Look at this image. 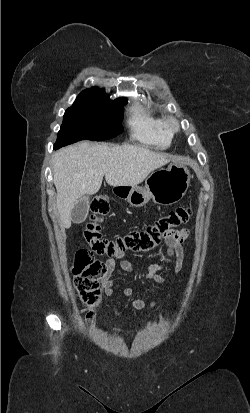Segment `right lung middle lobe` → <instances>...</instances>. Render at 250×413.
I'll use <instances>...</instances> for the list:
<instances>
[{
    "label": "right lung middle lobe",
    "mask_w": 250,
    "mask_h": 413,
    "mask_svg": "<svg viewBox=\"0 0 250 413\" xmlns=\"http://www.w3.org/2000/svg\"><path fill=\"white\" fill-rule=\"evenodd\" d=\"M125 98L109 100L107 95L81 92L65 111L54 149L80 140L103 141L123 130Z\"/></svg>",
    "instance_id": "obj_1"
}]
</instances>
